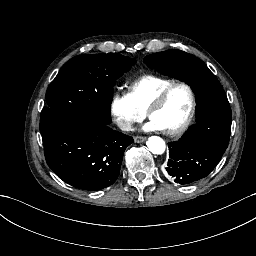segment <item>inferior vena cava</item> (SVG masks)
Returning a JSON list of instances; mask_svg holds the SVG:
<instances>
[{
  "mask_svg": "<svg viewBox=\"0 0 256 256\" xmlns=\"http://www.w3.org/2000/svg\"><path fill=\"white\" fill-rule=\"evenodd\" d=\"M116 124L119 127V129L123 130V131H131V129H132L131 122H129L127 120H124V119H121V118H118L116 120Z\"/></svg>",
  "mask_w": 256,
  "mask_h": 256,
  "instance_id": "602c4592",
  "label": "inferior vena cava"
}]
</instances>
